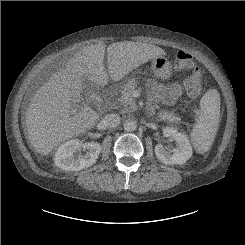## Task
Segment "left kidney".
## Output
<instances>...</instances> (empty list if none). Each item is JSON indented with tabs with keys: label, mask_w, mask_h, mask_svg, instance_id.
I'll list each match as a JSON object with an SVG mask.
<instances>
[{
	"label": "left kidney",
	"mask_w": 245,
	"mask_h": 245,
	"mask_svg": "<svg viewBox=\"0 0 245 245\" xmlns=\"http://www.w3.org/2000/svg\"><path fill=\"white\" fill-rule=\"evenodd\" d=\"M163 134L176 142V148L167 150L162 144L155 146L157 158L166 165L184 164L192 156V146L184 133L173 127H165Z\"/></svg>",
	"instance_id": "5707ae66"
}]
</instances>
